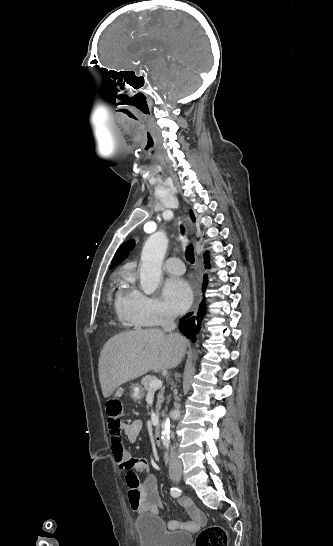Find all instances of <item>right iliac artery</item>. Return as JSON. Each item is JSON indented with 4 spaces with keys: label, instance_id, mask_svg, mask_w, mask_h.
<instances>
[{
    "label": "right iliac artery",
    "instance_id": "1",
    "mask_svg": "<svg viewBox=\"0 0 333 546\" xmlns=\"http://www.w3.org/2000/svg\"><path fill=\"white\" fill-rule=\"evenodd\" d=\"M170 493L173 497H178L181 494V491L178 488H171Z\"/></svg>",
    "mask_w": 333,
    "mask_h": 546
}]
</instances>
